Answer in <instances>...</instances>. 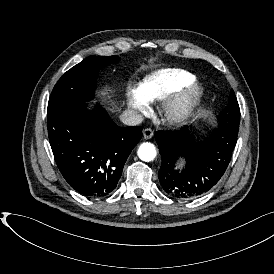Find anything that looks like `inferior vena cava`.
<instances>
[{"label":"inferior vena cava","mask_w":274,"mask_h":274,"mask_svg":"<svg viewBox=\"0 0 274 274\" xmlns=\"http://www.w3.org/2000/svg\"><path fill=\"white\" fill-rule=\"evenodd\" d=\"M119 118L122 123L129 126L139 125L144 120V117L135 110H124Z\"/></svg>","instance_id":"602c4592"}]
</instances>
